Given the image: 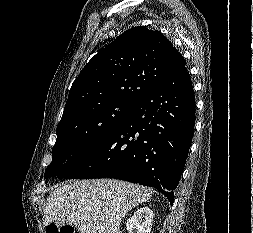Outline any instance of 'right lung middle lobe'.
I'll return each mask as SVG.
<instances>
[{"label": "right lung middle lobe", "instance_id": "obj_1", "mask_svg": "<svg viewBox=\"0 0 253 233\" xmlns=\"http://www.w3.org/2000/svg\"><path fill=\"white\" fill-rule=\"evenodd\" d=\"M133 100L110 99L82 106L63 116L57 126L52 162L45 178L61 174L102 144L129 114Z\"/></svg>", "mask_w": 253, "mask_h": 233}]
</instances>
